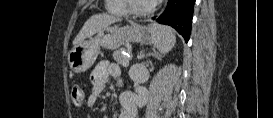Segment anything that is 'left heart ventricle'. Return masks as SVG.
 Segmentation results:
<instances>
[{"label":"left heart ventricle","instance_id":"1","mask_svg":"<svg viewBox=\"0 0 273 118\" xmlns=\"http://www.w3.org/2000/svg\"><path fill=\"white\" fill-rule=\"evenodd\" d=\"M134 5L136 9H145L146 7H148L150 4L148 1L145 0H135L134 1Z\"/></svg>","mask_w":273,"mask_h":118}]
</instances>
